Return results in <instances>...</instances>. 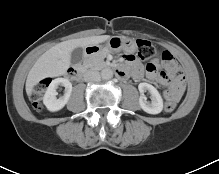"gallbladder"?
I'll use <instances>...</instances> for the list:
<instances>
[{
	"instance_id": "bac80fb5",
	"label": "gallbladder",
	"mask_w": 219,
	"mask_h": 174,
	"mask_svg": "<svg viewBox=\"0 0 219 174\" xmlns=\"http://www.w3.org/2000/svg\"><path fill=\"white\" fill-rule=\"evenodd\" d=\"M83 49L82 48H75L72 52H71V63L73 65H76L78 63H80L83 59Z\"/></svg>"
}]
</instances>
